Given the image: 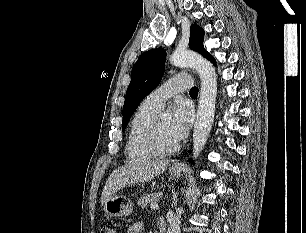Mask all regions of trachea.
<instances>
[{"label":"trachea","instance_id":"1","mask_svg":"<svg viewBox=\"0 0 306 233\" xmlns=\"http://www.w3.org/2000/svg\"><path fill=\"white\" fill-rule=\"evenodd\" d=\"M189 93L191 95H197L198 94V88L197 87H192Z\"/></svg>","mask_w":306,"mask_h":233}]
</instances>
